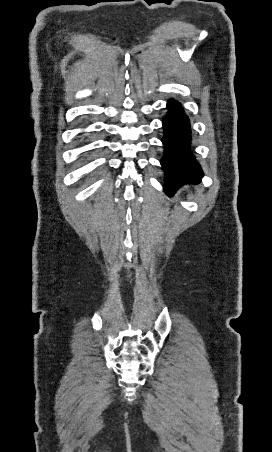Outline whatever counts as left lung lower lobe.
<instances>
[{
	"instance_id": "1",
	"label": "left lung lower lobe",
	"mask_w": 272,
	"mask_h": 452,
	"mask_svg": "<svg viewBox=\"0 0 272 452\" xmlns=\"http://www.w3.org/2000/svg\"><path fill=\"white\" fill-rule=\"evenodd\" d=\"M181 104L173 99L167 103L169 110L163 119L164 156L161 165L165 171V192L172 195L185 183L199 182L203 171L190 149L191 129L188 116Z\"/></svg>"
}]
</instances>
